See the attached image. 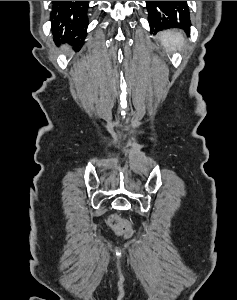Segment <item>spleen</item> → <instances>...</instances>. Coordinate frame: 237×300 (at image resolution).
<instances>
[{
	"mask_svg": "<svg viewBox=\"0 0 237 300\" xmlns=\"http://www.w3.org/2000/svg\"><path fill=\"white\" fill-rule=\"evenodd\" d=\"M160 41L166 51H177L184 47V37L178 31H162Z\"/></svg>",
	"mask_w": 237,
	"mask_h": 300,
	"instance_id": "spleen-1",
	"label": "spleen"
}]
</instances>
